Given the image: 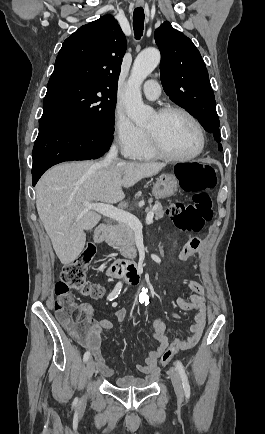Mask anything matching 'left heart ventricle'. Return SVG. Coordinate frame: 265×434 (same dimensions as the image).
Here are the masks:
<instances>
[{"instance_id": "obj_1", "label": "left heart ventricle", "mask_w": 265, "mask_h": 434, "mask_svg": "<svg viewBox=\"0 0 265 434\" xmlns=\"http://www.w3.org/2000/svg\"><path fill=\"white\" fill-rule=\"evenodd\" d=\"M146 128L157 130L162 145L175 155H189L198 147L197 130L182 113L172 112L163 120L155 114Z\"/></svg>"}]
</instances>
